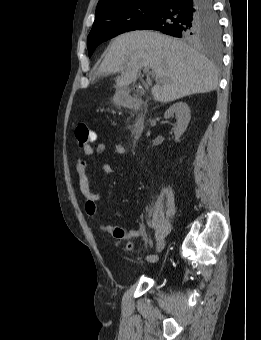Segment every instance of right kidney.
<instances>
[{
    "label": "right kidney",
    "mask_w": 261,
    "mask_h": 340,
    "mask_svg": "<svg viewBox=\"0 0 261 340\" xmlns=\"http://www.w3.org/2000/svg\"><path fill=\"white\" fill-rule=\"evenodd\" d=\"M175 115L176 124L173 126L175 135V141H179L180 137L186 131L190 122V108L185 102H177L173 104L164 114L166 119H169Z\"/></svg>",
    "instance_id": "obj_1"
}]
</instances>
